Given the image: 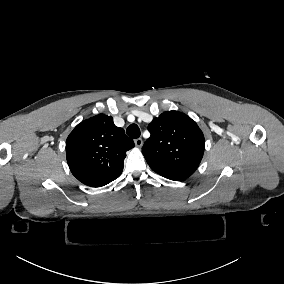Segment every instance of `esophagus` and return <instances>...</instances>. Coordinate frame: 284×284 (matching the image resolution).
I'll use <instances>...</instances> for the list:
<instances>
[{"label":"esophagus","instance_id":"1","mask_svg":"<svg viewBox=\"0 0 284 284\" xmlns=\"http://www.w3.org/2000/svg\"><path fill=\"white\" fill-rule=\"evenodd\" d=\"M134 142H135V146H136L137 148H141L142 145H143V140H142L141 138L135 139Z\"/></svg>","mask_w":284,"mask_h":284}]
</instances>
